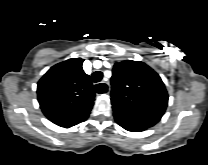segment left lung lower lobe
<instances>
[{"label": "left lung lower lobe", "instance_id": "0a47b994", "mask_svg": "<svg viewBox=\"0 0 208 165\" xmlns=\"http://www.w3.org/2000/svg\"><path fill=\"white\" fill-rule=\"evenodd\" d=\"M116 120V119H115ZM116 122L123 127L124 129L131 131V132H141L146 130L148 127H145L143 125H136L128 122H124L121 120H116Z\"/></svg>", "mask_w": 208, "mask_h": 165}]
</instances>
